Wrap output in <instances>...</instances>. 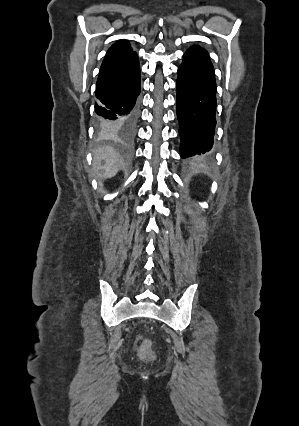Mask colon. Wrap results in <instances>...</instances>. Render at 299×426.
<instances>
[{
  "mask_svg": "<svg viewBox=\"0 0 299 426\" xmlns=\"http://www.w3.org/2000/svg\"><path fill=\"white\" fill-rule=\"evenodd\" d=\"M140 357L145 361H151L155 357V354L151 349V342L147 339L142 342L140 349Z\"/></svg>",
  "mask_w": 299,
  "mask_h": 426,
  "instance_id": "1",
  "label": "colon"
}]
</instances>
